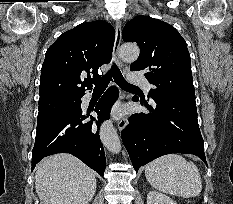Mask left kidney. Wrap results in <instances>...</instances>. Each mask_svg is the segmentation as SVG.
I'll list each match as a JSON object with an SVG mask.
<instances>
[{
	"label": "left kidney",
	"instance_id": "1",
	"mask_svg": "<svg viewBox=\"0 0 233 204\" xmlns=\"http://www.w3.org/2000/svg\"><path fill=\"white\" fill-rule=\"evenodd\" d=\"M147 204H177L169 196L157 192L150 191L147 195Z\"/></svg>",
	"mask_w": 233,
	"mask_h": 204
}]
</instances>
